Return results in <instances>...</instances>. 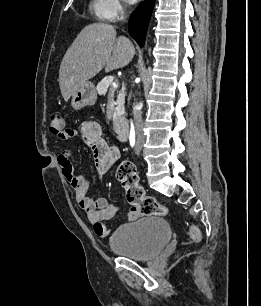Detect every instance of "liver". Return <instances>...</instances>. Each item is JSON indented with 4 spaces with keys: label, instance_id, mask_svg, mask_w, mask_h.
Returning <instances> with one entry per match:
<instances>
[{
    "label": "liver",
    "instance_id": "obj_1",
    "mask_svg": "<svg viewBox=\"0 0 261 306\" xmlns=\"http://www.w3.org/2000/svg\"><path fill=\"white\" fill-rule=\"evenodd\" d=\"M135 55L133 43L126 37L116 38L110 24L87 25L66 51L59 69V86L64 100L103 68L106 73L128 65Z\"/></svg>",
    "mask_w": 261,
    "mask_h": 306
}]
</instances>
